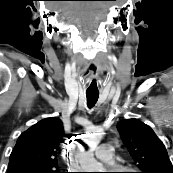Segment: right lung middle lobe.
Masks as SVG:
<instances>
[{"instance_id": "obj_1", "label": "right lung middle lobe", "mask_w": 173, "mask_h": 173, "mask_svg": "<svg viewBox=\"0 0 173 173\" xmlns=\"http://www.w3.org/2000/svg\"><path fill=\"white\" fill-rule=\"evenodd\" d=\"M22 173H60L57 170H45V171H23Z\"/></svg>"}]
</instances>
